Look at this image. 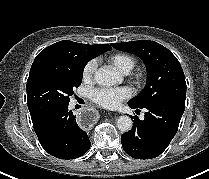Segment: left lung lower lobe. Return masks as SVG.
Returning <instances> with one entry per match:
<instances>
[{"label": "left lung lower lobe", "instance_id": "1", "mask_svg": "<svg viewBox=\"0 0 209 179\" xmlns=\"http://www.w3.org/2000/svg\"><path fill=\"white\" fill-rule=\"evenodd\" d=\"M131 108L142 109L128 102ZM144 120L134 118L133 128L121 135L124 151L136 159L159 156L175 136L185 110V100L158 102L143 107Z\"/></svg>", "mask_w": 209, "mask_h": 179}]
</instances>
